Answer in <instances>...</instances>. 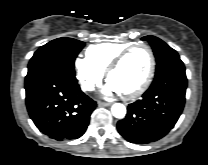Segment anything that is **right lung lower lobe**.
<instances>
[{"label":"right lung lower lobe","mask_w":208,"mask_h":165,"mask_svg":"<svg viewBox=\"0 0 208 165\" xmlns=\"http://www.w3.org/2000/svg\"><path fill=\"white\" fill-rule=\"evenodd\" d=\"M25 91L30 118L42 133L58 141L85 133L96 102L80 90L75 75L43 69L25 79Z\"/></svg>","instance_id":"1"}]
</instances>
